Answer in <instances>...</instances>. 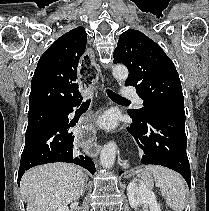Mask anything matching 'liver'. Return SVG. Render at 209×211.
<instances>
[{"label":"liver","mask_w":209,"mask_h":211,"mask_svg":"<svg viewBox=\"0 0 209 211\" xmlns=\"http://www.w3.org/2000/svg\"><path fill=\"white\" fill-rule=\"evenodd\" d=\"M83 171L68 163H50L29 169L20 182L27 211H57L83 193Z\"/></svg>","instance_id":"obj_1"}]
</instances>
